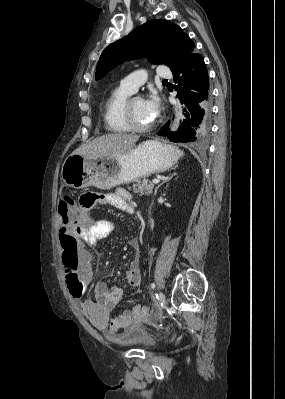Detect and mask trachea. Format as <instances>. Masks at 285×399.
Returning <instances> with one entry per match:
<instances>
[{"mask_svg":"<svg viewBox=\"0 0 285 399\" xmlns=\"http://www.w3.org/2000/svg\"><path fill=\"white\" fill-rule=\"evenodd\" d=\"M167 81H168V80H165V79L163 80V82H167Z\"/></svg>","mask_w":285,"mask_h":399,"instance_id":"3493384b","label":"trachea"}]
</instances>
